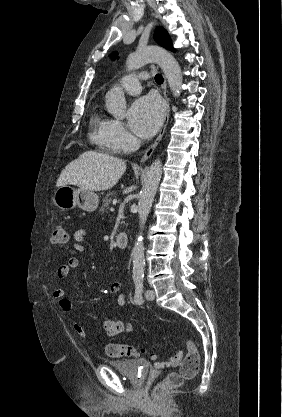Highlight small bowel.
Listing matches in <instances>:
<instances>
[{
    "mask_svg": "<svg viewBox=\"0 0 282 417\" xmlns=\"http://www.w3.org/2000/svg\"><path fill=\"white\" fill-rule=\"evenodd\" d=\"M88 230L86 228H80L74 233L75 243L73 245V251L75 253H82L85 250L84 242L88 238ZM79 266V259L76 256H71L67 259L66 263L60 265L57 268V276L60 279H64L68 276L71 270ZM123 284L120 281H115L110 286V293L117 295V303L119 306L124 307L126 304L125 295L122 292ZM53 298L58 301L60 308L64 312H71L73 305L67 298V293L63 288H56L53 291ZM72 328L76 334L83 340H86V331L88 329L81 321L73 320ZM132 331V325L120 319H107L102 322V334L106 337H115L121 333H130ZM115 344V343H110Z\"/></svg>",
    "mask_w": 282,
    "mask_h": 417,
    "instance_id": "c3829d8e",
    "label": "small bowel"
}]
</instances>
